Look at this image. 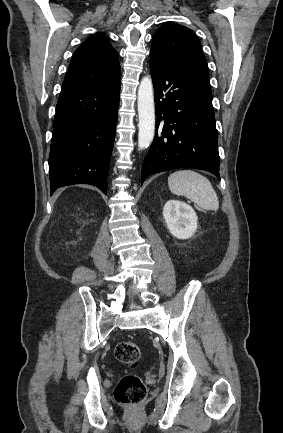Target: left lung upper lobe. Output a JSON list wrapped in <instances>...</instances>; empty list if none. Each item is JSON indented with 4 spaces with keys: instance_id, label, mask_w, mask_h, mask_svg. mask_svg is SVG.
I'll list each match as a JSON object with an SVG mask.
<instances>
[{
    "instance_id": "5c2ea615",
    "label": "left lung upper lobe",
    "mask_w": 283,
    "mask_h": 433,
    "mask_svg": "<svg viewBox=\"0 0 283 433\" xmlns=\"http://www.w3.org/2000/svg\"><path fill=\"white\" fill-rule=\"evenodd\" d=\"M150 54L160 56L167 62L197 74L203 81L205 91L202 98L203 106L214 112L207 61L193 31L176 23H164L152 38Z\"/></svg>"
}]
</instances>
